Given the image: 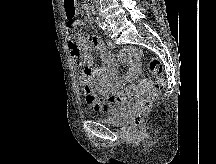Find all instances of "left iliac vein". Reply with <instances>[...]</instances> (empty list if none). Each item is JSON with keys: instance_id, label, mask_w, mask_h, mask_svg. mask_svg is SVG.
I'll use <instances>...</instances> for the list:
<instances>
[{"instance_id": "obj_1", "label": "left iliac vein", "mask_w": 216, "mask_h": 164, "mask_svg": "<svg viewBox=\"0 0 216 164\" xmlns=\"http://www.w3.org/2000/svg\"><path fill=\"white\" fill-rule=\"evenodd\" d=\"M104 33H105L106 36L110 37V35H111V29H110L109 25H107Z\"/></svg>"}]
</instances>
